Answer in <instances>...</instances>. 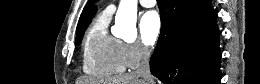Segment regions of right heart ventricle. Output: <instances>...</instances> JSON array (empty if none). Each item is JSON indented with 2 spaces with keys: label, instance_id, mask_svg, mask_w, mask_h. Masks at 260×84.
Masks as SVG:
<instances>
[{
  "label": "right heart ventricle",
  "instance_id": "1",
  "mask_svg": "<svg viewBox=\"0 0 260 84\" xmlns=\"http://www.w3.org/2000/svg\"><path fill=\"white\" fill-rule=\"evenodd\" d=\"M111 14L102 12L89 28L82 50L84 72L94 78H108L125 71L122 41L108 31Z\"/></svg>",
  "mask_w": 260,
  "mask_h": 84
}]
</instances>
